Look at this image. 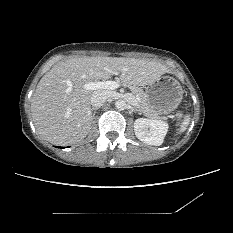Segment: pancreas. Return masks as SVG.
Instances as JSON below:
<instances>
[{"instance_id":"cf45deb5","label":"pancreas","mask_w":233,"mask_h":233,"mask_svg":"<svg viewBox=\"0 0 233 233\" xmlns=\"http://www.w3.org/2000/svg\"><path fill=\"white\" fill-rule=\"evenodd\" d=\"M123 84L127 86L136 97H139V101L137 104L146 117L152 119H160L159 114L147 104L145 92L142 88L125 82H123Z\"/></svg>"}]
</instances>
